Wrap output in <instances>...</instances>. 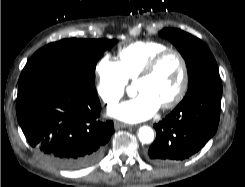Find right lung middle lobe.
Segmentation results:
<instances>
[{
  "label": "right lung middle lobe",
  "instance_id": "obj_1",
  "mask_svg": "<svg viewBox=\"0 0 245 187\" xmlns=\"http://www.w3.org/2000/svg\"><path fill=\"white\" fill-rule=\"evenodd\" d=\"M116 40L64 39L38 50L24 67L19 86L34 80L54 78L95 91L94 72L101 54Z\"/></svg>",
  "mask_w": 245,
  "mask_h": 187
}]
</instances>
